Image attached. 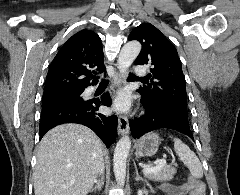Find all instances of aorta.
<instances>
[{
    "label": "aorta",
    "instance_id": "762f6f07",
    "mask_svg": "<svg viewBox=\"0 0 240 195\" xmlns=\"http://www.w3.org/2000/svg\"><path fill=\"white\" fill-rule=\"evenodd\" d=\"M141 52V44L137 40L123 46L118 58V70L121 76H126L131 64ZM131 147V139L124 135L119 139L113 157V171L119 185H124L126 177V161Z\"/></svg>",
    "mask_w": 240,
    "mask_h": 195
}]
</instances>
